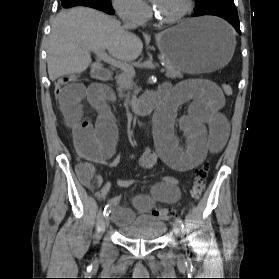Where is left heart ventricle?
Here are the masks:
<instances>
[{
  "instance_id": "left-heart-ventricle-1",
  "label": "left heart ventricle",
  "mask_w": 279,
  "mask_h": 279,
  "mask_svg": "<svg viewBox=\"0 0 279 279\" xmlns=\"http://www.w3.org/2000/svg\"><path fill=\"white\" fill-rule=\"evenodd\" d=\"M158 15L173 18L186 7L187 0H150Z\"/></svg>"
}]
</instances>
